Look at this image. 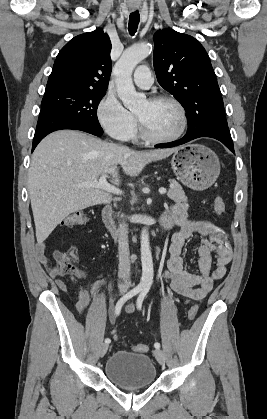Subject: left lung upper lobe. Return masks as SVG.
<instances>
[{
	"label": "left lung upper lobe",
	"mask_w": 267,
	"mask_h": 419,
	"mask_svg": "<svg viewBox=\"0 0 267 419\" xmlns=\"http://www.w3.org/2000/svg\"><path fill=\"white\" fill-rule=\"evenodd\" d=\"M153 39L157 80L184 107L188 126L205 114L218 117L213 129L227 125L216 75L200 42L170 29L158 30Z\"/></svg>",
	"instance_id": "obj_1"
}]
</instances>
